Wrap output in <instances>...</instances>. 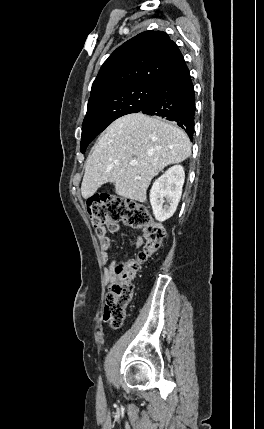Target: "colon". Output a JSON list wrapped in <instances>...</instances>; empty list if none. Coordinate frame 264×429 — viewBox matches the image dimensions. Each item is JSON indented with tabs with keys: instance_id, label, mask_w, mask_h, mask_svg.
Returning a JSON list of instances; mask_svg holds the SVG:
<instances>
[{
	"instance_id": "5ec220e1",
	"label": "colon",
	"mask_w": 264,
	"mask_h": 429,
	"mask_svg": "<svg viewBox=\"0 0 264 429\" xmlns=\"http://www.w3.org/2000/svg\"><path fill=\"white\" fill-rule=\"evenodd\" d=\"M86 208L97 233H102L108 222L121 221L130 227L142 229L146 239L142 251L134 259L114 267L115 279L105 297L103 319L111 327L119 328L133 295L135 274L140 264L158 250L165 230L162 224L152 219L147 208L117 196L95 195L88 199Z\"/></svg>"
}]
</instances>
